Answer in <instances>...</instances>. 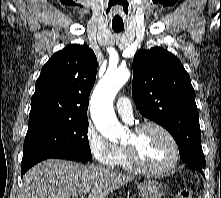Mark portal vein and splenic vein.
Wrapping results in <instances>:
<instances>
[{"label":"portal vein and splenic vein","instance_id":"18ae733b","mask_svg":"<svg viewBox=\"0 0 221 198\" xmlns=\"http://www.w3.org/2000/svg\"><path fill=\"white\" fill-rule=\"evenodd\" d=\"M87 193V190L86 191H84V194H86Z\"/></svg>","mask_w":221,"mask_h":198}]
</instances>
